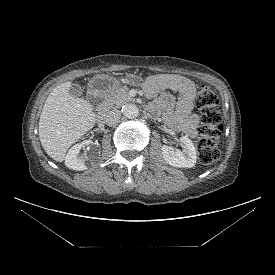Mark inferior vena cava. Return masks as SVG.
<instances>
[{"instance_id": "602c4592", "label": "inferior vena cava", "mask_w": 275, "mask_h": 275, "mask_svg": "<svg viewBox=\"0 0 275 275\" xmlns=\"http://www.w3.org/2000/svg\"><path fill=\"white\" fill-rule=\"evenodd\" d=\"M121 117V113L119 110L114 109L109 111L106 116H105V122L107 125H115L118 123V121L120 120Z\"/></svg>"}]
</instances>
